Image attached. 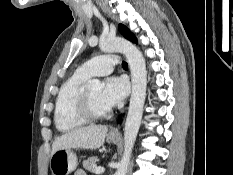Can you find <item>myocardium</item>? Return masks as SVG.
Returning <instances> with one entry per match:
<instances>
[{
    "mask_svg": "<svg viewBox=\"0 0 233 175\" xmlns=\"http://www.w3.org/2000/svg\"><path fill=\"white\" fill-rule=\"evenodd\" d=\"M76 112L87 121L102 120L110 116V109L99 112L96 111L90 101L86 90H82L76 102Z\"/></svg>",
    "mask_w": 233,
    "mask_h": 175,
    "instance_id": "1",
    "label": "myocardium"
}]
</instances>
